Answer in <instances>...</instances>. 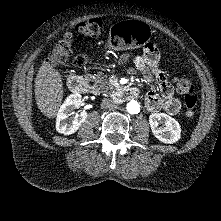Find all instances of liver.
Masks as SVG:
<instances>
[{
	"instance_id": "obj_1",
	"label": "liver",
	"mask_w": 221,
	"mask_h": 221,
	"mask_svg": "<svg viewBox=\"0 0 221 221\" xmlns=\"http://www.w3.org/2000/svg\"><path fill=\"white\" fill-rule=\"evenodd\" d=\"M35 99L41 113L54 118L64 96L61 74L47 61L40 66L35 78Z\"/></svg>"
}]
</instances>
